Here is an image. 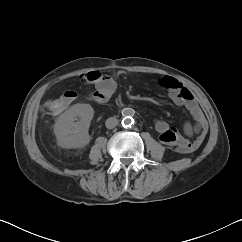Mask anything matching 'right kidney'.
<instances>
[{
	"instance_id": "1",
	"label": "right kidney",
	"mask_w": 242,
	"mask_h": 242,
	"mask_svg": "<svg viewBox=\"0 0 242 242\" xmlns=\"http://www.w3.org/2000/svg\"><path fill=\"white\" fill-rule=\"evenodd\" d=\"M94 116L90 104L77 103L62 113L54 126L57 144L62 148H83L91 138L88 129ZM76 121L75 120H78Z\"/></svg>"
}]
</instances>
